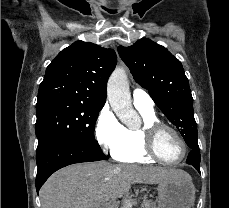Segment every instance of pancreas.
I'll list each match as a JSON object with an SVG mask.
<instances>
[{"label": "pancreas", "mask_w": 229, "mask_h": 208, "mask_svg": "<svg viewBox=\"0 0 229 208\" xmlns=\"http://www.w3.org/2000/svg\"><path fill=\"white\" fill-rule=\"evenodd\" d=\"M141 208H157L156 202H153V200H144L141 204Z\"/></svg>", "instance_id": "cf45deb5"}]
</instances>
